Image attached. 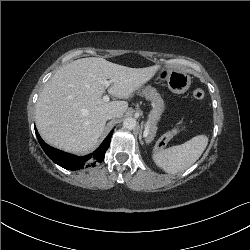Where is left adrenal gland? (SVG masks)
<instances>
[{
	"label": "left adrenal gland",
	"instance_id": "obj_1",
	"mask_svg": "<svg viewBox=\"0 0 250 250\" xmlns=\"http://www.w3.org/2000/svg\"><path fill=\"white\" fill-rule=\"evenodd\" d=\"M143 128H144V124L141 123V131H140V134H139V140H140L141 144H144V142L142 141V130H143Z\"/></svg>",
	"mask_w": 250,
	"mask_h": 250
}]
</instances>
